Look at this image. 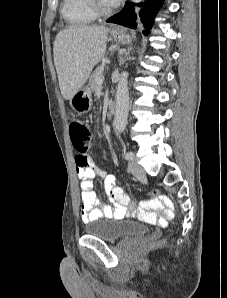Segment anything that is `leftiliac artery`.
Returning a JSON list of instances; mask_svg holds the SVG:
<instances>
[{
	"instance_id": "44dca946",
	"label": "left iliac artery",
	"mask_w": 227,
	"mask_h": 298,
	"mask_svg": "<svg viewBox=\"0 0 227 298\" xmlns=\"http://www.w3.org/2000/svg\"><path fill=\"white\" fill-rule=\"evenodd\" d=\"M133 157H134L133 152H127V153L125 154V159H126V160H132Z\"/></svg>"
}]
</instances>
